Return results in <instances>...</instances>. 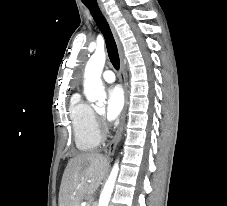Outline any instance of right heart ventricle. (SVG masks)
<instances>
[{
    "label": "right heart ventricle",
    "instance_id": "obj_1",
    "mask_svg": "<svg viewBox=\"0 0 227 206\" xmlns=\"http://www.w3.org/2000/svg\"><path fill=\"white\" fill-rule=\"evenodd\" d=\"M69 116L76 147L83 152L95 149L101 139L95 114L91 105L79 94L73 95L70 100Z\"/></svg>",
    "mask_w": 227,
    "mask_h": 206
}]
</instances>
